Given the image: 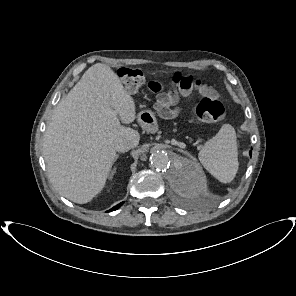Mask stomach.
I'll list each match as a JSON object with an SVG mask.
<instances>
[{
  "mask_svg": "<svg viewBox=\"0 0 296 296\" xmlns=\"http://www.w3.org/2000/svg\"><path fill=\"white\" fill-rule=\"evenodd\" d=\"M139 122L147 130L155 131L157 122L154 114L151 111H142L139 115Z\"/></svg>",
  "mask_w": 296,
  "mask_h": 296,
  "instance_id": "obj_1",
  "label": "stomach"
}]
</instances>
